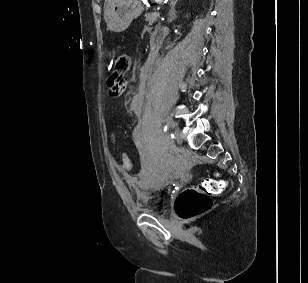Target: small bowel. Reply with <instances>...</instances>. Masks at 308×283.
I'll return each instance as SVG.
<instances>
[{
    "label": "small bowel",
    "instance_id": "small-bowel-1",
    "mask_svg": "<svg viewBox=\"0 0 308 283\" xmlns=\"http://www.w3.org/2000/svg\"><path fill=\"white\" fill-rule=\"evenodd\" d=\"M109 87V95L112 98L119 97L120 95L123 94L125 91V85L117 87V86H112L108 84ZM144 108H145V95L143 92H138L133 96V98L130 101L129 104V113L137 116V117H142L144 113Z\"/></svg>",
    "mask_w": 308,
    "mask_h": 283
}]
</instances>
